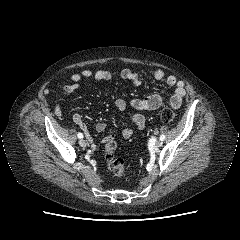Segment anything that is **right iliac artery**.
Listing matches in <instances>:
<instances>
[{
    "label": "right iliac artery",
    "instance_id": "obj_1",
    "mask_svg": "<svg viewBox=\"0 0 240 240\" xmlns=\"http://www.w3.org/2000/svg\"><path fill=\"white\" fill-rule=\"evenodd\" d=\"M77 136H78V138H80V139H82V138H83V134H82V133H80V132L78 133V135H77Z\"/></svg>",
    "mask_w": 240,
    "mask_h": 240
}]
</instances>
